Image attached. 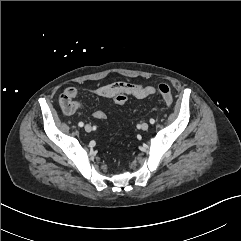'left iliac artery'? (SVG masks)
Instances as JSON below:
<instances>
[{"mask_svg": "<svg viewBox=\"0 0 241 241\" xmlns=\"http://www.w3.org/2000/svg\"><path fill=\"white\" fill-rule=\"evenodd\" d=\"M149 122H150V124H154L155 120L153 118H151Z\"/></svg>", "mask_w": 241, "mask_h": 241, "instance_id": "obj_1", "label": "left iliac artery"}]
</instances>
